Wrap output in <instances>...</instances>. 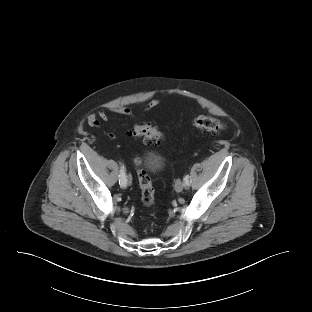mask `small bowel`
Returning <instances> with one entry per match:
<instances>
[{"label":"small bowel","instance_id":"obj_1","mask_svg":"<svg viewBox=\"0 0 312 312\" xmlns=\"http://www.w3.org/2000/svg\"><path fill=\"white\" fill-rule=\"evenodd\" d=\"M159 104H160L159 100H156V99L152 100L146 105L145 111L153 109V108L157 107ZM109 113L122 115V116H126L129 118H135V114L133 113V111L130 108L124 107V106H114V107L109 108L108 111L100 110L96 114H90L87 118V124L92 128H100L102 121L106 122L110 119ZM107 135L110 138L115 137V135L111 132H109Z\"/></svg>","mask_w":312,"mask_h":312}]
</instances>
